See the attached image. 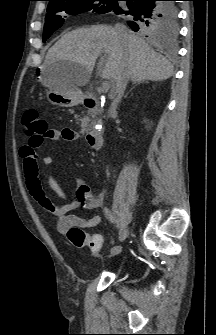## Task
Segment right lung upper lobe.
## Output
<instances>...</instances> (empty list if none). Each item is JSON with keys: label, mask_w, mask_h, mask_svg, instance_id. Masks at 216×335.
Here are the masks:
<instances>
[{"label": "right lung upper lobe", "mask_w": 216, "mask_h": 335, "mask_svg": "<svg viewBox=\"0 0 216 335\" xmlns=\"http://www.w3.org/2000/svg\"><path fill=\"white\" fill-rule=\"evenodd\" d=\"M47 1H49V4H50V3L54 2V1H61V0H47Z\"/></svg>", "instance_id": "right-lung-upper-lobe-1"}]
</instances>
